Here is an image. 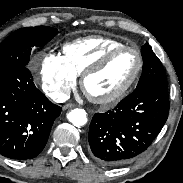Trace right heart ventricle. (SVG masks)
<instances>
[{
	"label": "right heart ventricle",
	"instance_id": "right-heart-ventricle-1",
	"mask_svg": "<svg viewBox=\"0 0 183 183\" xmlns=\"http://www.w3.org/2000/svg\"><path fill=\"white\" fill-rule=\"evenodd\" d=\"M120 41L103 36H89L63 46V59L75 75H81L89 66L112 48L122 46Z\"/></svg>",
	"mask_w": 183,
	"mask_h": 183
}]
</instances>
